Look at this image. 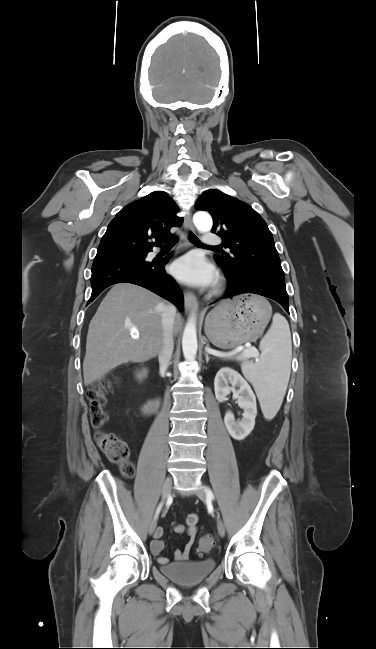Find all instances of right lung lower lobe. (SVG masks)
Returning <instances> with one entry per match:
<instances>
[{
  "mask_svg": "<svg viewBox=\"0 0 376 649\" xmlns=\"http://www.w3.org/2000/svg\"><path fill=\"white\" fill-rule=\"evenodd\" d=\"M136 258L110 257L94 261L92 265V302L105 288L122 282L142 286L174 303L182 310L184 298L175 280L165 272L169 256L161 260L146 261L147 253Z\"/></svg>",
  "mask_w": 376,
  "mask_h": 649,
  "instance_id": "right-lung-lower-lobe-1",
  "label": "right lung lower lobe"
}]
</instances>
